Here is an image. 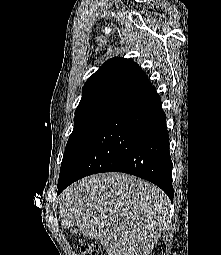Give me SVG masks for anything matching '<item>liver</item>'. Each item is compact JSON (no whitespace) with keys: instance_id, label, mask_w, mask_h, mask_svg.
<instances>
[{"instance_id":"obj_1","label":"liver","mask_w":221,"mask_h":255,"mask_svg":"<svg viewBox=\"0 0 221 255\" xmlns=\"http://www.w3.org/2000/svg\"><path fill=\"white\" fill-rule=\"evenodd\" d=\"M62 228L78 227L108 255H147L166 226L169 199L154 184L123 173L88 176L59 197Z\"/></svg>"}]
</instances>
